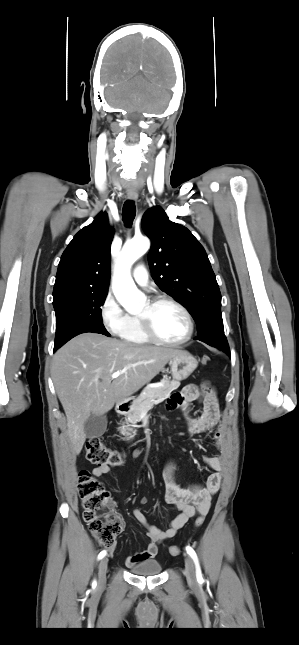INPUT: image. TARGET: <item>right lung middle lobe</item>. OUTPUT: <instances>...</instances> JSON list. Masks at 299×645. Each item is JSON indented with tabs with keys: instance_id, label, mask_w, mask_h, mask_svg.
Segmentation results:
<instances>
[{
	"instance_id": "1",
	"label": "right lung middle lobe",
	"mask_w": 299,
	"mask_h": 645,
	"mask_svg": "<svg viewBox=\"0 0 299 645\" xmlns=\"http://www.w3.org/2000/svg\"><path fill=\"white\" fill-rule=\"evenodd\" d=\"M106 295L107 292L72 293L53 302L56 312L55 347L84 332L108 335L100 308Z\"/></svg>"
}]
</instances>
